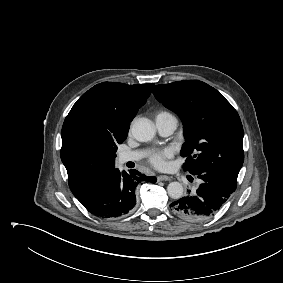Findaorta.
Here are the masks:
<instances>
[{
    "mask_svg": "<svg viewBox=\"0 0 283 283\" xmlns=\"http://www.w3.org/2000/svg\"><path fill=\"white\" fill-rule=\"evenodd\" d=\"M155 127L147 118H139L131 125L133 137L140 142H148L155 136ZM183 186L179 182H171L167 186L168 195L173 199H180L183 195Z\"/></svg>",
    "mask_w": 283,
    "mask_h": 283,
    "instance_id": "1",
    "label": "aorta"
}]
</instances>
